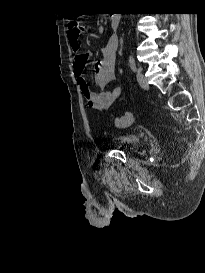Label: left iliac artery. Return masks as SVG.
I'll use <instances>...</instances> for the list:
<instances>
[{"instance_id":"obj_1","label":"left iliac artery","mask_w":205,"mask_h":273,"mask_svg":"<svg viewBox=\"0 0 205 273\" xmlns=\"http://www.w3.org/2000/svg\"><path fill=\"white\" fill-rule=\"evenodd\" d=\"M129 66L133 72L136 71V63H135V59L133 58L132 55L129 56Z\"/></svg>"}]
</instances>
